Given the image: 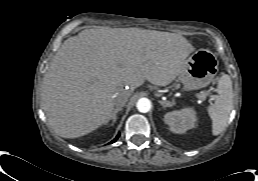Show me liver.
I'll use <instances>...</instances> for the list:
<instances>
[{
    "label": "liver",
    "mask_w": 258,
    "mask_h": 181,
    "mask_svg": "<svg viewBox=\"0 0 258 181\" xmlns=\"http://www.w3.org/2000/svg\"><path fill=\"white\" fill-rule=\"evenodd\" d=\"M194 51L175 33L83 30L64 41L44 76L41 105L47 122L63 138L84 136L109 122L116 99L125 92L131 94L145 80L171 83Z\"/></svg>",
    "instance_id": "liver-1"
}]
</instances>
